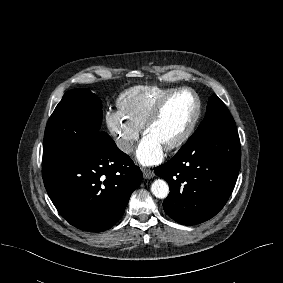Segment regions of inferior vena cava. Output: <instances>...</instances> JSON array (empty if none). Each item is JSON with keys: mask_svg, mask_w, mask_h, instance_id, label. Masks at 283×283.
<instances>
[{"mask_svg": "<svg viewBox=\"0 0 283 283\" xmlns=\"http://www.w3.org/2000/svg\"><path fill=\"white\" fill-rule=\"evenodd\" d=\"M117 146L125 153H131L134 150L133 142L125 139L118 140Z\"/></svg>", "mask_w": 283, "mask_h": 283, "instance_id": "1", "label": "inferior vena cava"}]
</instances>
